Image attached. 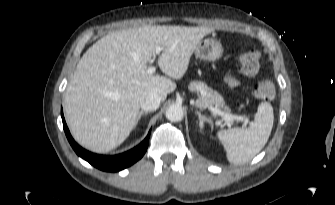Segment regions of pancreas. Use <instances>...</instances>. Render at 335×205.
<instances>
[{"label":"pancreas","instance_id":"cf45deb5","mask_svg":"<svg viewBox=\"0 0 335 205\" xmlns=\"http://www.w3.org/2000/svg\"><path fill=\"white\" fill-rule=\"evenodd\" d=\"M189 89L193 92H200L201 96L197 100V105L200 107L213 106L229 112V108L226 106L224 98L212 88L208 87L206 83L202 81H192L189 84Z\"/></svg>","mask_w":335,"mask_h":205}]
</instances>
